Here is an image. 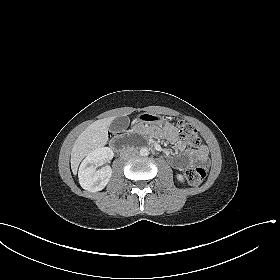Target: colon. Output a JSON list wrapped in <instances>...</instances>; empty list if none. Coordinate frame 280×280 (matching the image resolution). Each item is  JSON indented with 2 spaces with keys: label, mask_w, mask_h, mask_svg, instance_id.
<instances>
[{
  "label": "colon",
  "mask_w": 280,
  "mask_h": 280,
  "mask_svg": "<svg viewBox=\"0 0 280 280\" xmlns=\"http://www.w3.org/2000/svg\"><path fill=\"white\" fill-rule=\"evenodd\" d=\"M178 132L181 138L194 148H199L201 145L200 137L197 130L190 124L184 121L177 122ZM207 176V168L204 166H192L186 169L185 177L192 185H198L204 181Z\"/></svg>",
  "instance_id": "1"
}]
</instances>
